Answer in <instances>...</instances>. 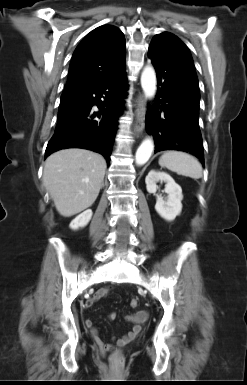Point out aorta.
Returning <instances> with one entry per match:
<instances>
[{"label":"aorta","mask_w":247,"mask_h":385,"mask_svg":"<svg viewBox=\"0 0 247 385\" xmlns=\"http://www.w3.org/2000/svg\"><path fill=\"white\" fill-rule=\"evenodd\" d=\"M156 73L153 67L146 66L141 74V86L146 98L152 99L156 93ZM154 143L151 138H146L136 151V164H145L152 155Z\"/></svg>","instance_id":"aorta-1"}]
</instances>
